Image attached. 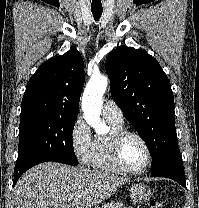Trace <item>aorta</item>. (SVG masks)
I'll return each instance as SVG.
<instances>
[{"label":"aorta","mask_w":199,"mask_h":208,"mask_svg":"<svg viewBox=\"0 0 199 208\" xmlns=\"http://www.w3.org/2000/svg\"><path fill=\"white\" fill-rule=\"evenodd\" d=\"M108 85V78L104 75H93L82 97V110L86 122L97 134L103 135L109 131L108 126L101 121L102 98Z\"/></svg>","instance_id":"762f6f07"}]
</instances>
